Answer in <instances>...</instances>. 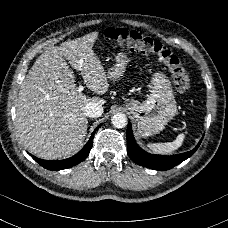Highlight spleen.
Returning <instances> with one entry per match:
<instances>
[{"mask_svg":"<svg viewBox=\"0 0 228 228\" xmlns=\"http://www.w3.org/2000/svg\"><path fill=\"white\" fill-rule=\"evenodd\" d=\"M184 136L183 134L179 135L175 141L169 142V143H150L148 144V147L152 150L160 153H171L172 150L178 148L183 140Z\"/></svg>","mask_w":228,"mask_h":228,"instance_id":"spleen-1","label":"spleen"}]
</instances>
